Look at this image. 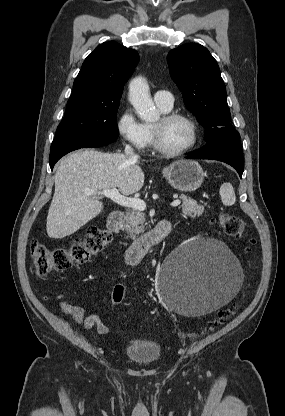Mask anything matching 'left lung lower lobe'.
I'll return each mask as SVG.
<instances>
[{
  "label": "left lung lower lobe",
  "instance_id": "obj_1",
  "mask_svg": "<svg viewBox=\"0 0 285 416\" xmlns=\"http://www.w3.org/2000/svg\"><path fill=\"white\" fill-rule=\"evenodd\" d=\"M188 159H211L225 162L237 170L239 176L244 171L241 142L238 136L214 140L186 157Z\"/></svg>",
  "mask_w": 285,
  "mask_h": 416
}]
</instances>
